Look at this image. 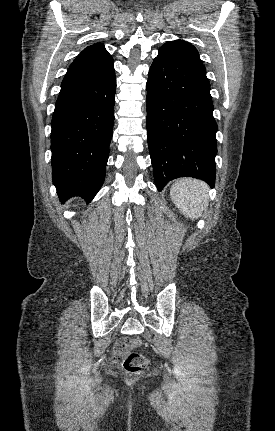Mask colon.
I'll use <instances>...</instances> for the list:
<instances>
[{
    "label": "colon",
    "instance_id": "obj_1",
    "mask_svg": "<svg viewBox=\"0 0 275 431\" xmlns=\"http://www.w3.org/2000/svg\"><path fill=\"white\" fill-rule=\"evenodd\" d=\"M141 340L137 337L125 340V346L128 349H133L141 345ZM147 365L146 357L139 352H130L123 362L126 371L130 373H138L142 371Z\"/></svg>",
    "mask_w": 275,
    "mask_h": 431
}]
</instances>
